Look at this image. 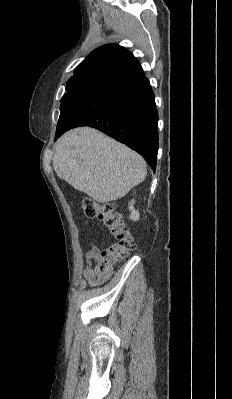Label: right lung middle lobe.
<instances>
[{
  "mask_svg": "<svg viewBox=\"0 0 232 399\" xmlns=\"http://www.w3.org/2000/svg\"><path fill=\"white\" fill-rule=\"evenodd\" d=\"M100 82V80L96 79H76L68 81L66 86L67 93L61 99L60 108L63 107L68 101L76 99L86 90Z\"/></svg>",
  "mask_w": 232,
  "mask_h": 399,
  "instance_id": "1",
  "label": "right lung middle lobe"
}]
</instances>
